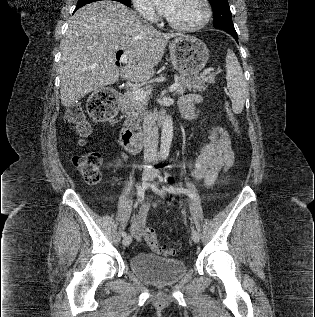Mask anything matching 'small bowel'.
<instances>
[{
    "label": "small bowel",
    "instance_id": "c3829d8e",
    "mask_svg": "<svg viewBox=\"0 0 315 317\" xmlns=\"http://www.w3.org/2000/svg\"><path fill=\"white\" fill-rule=\"evenodd\" d=\"M201 101L197 94L184 96L180 101V109L183 116L193 121L198 117L195 106ZM128 158L127 153L122 152L116 158V164L121 165ZM234 162V153L231 148V140L225 129L216 126L212 129L209 140L204 146L195 162L189 165V170L193 178L204 182L206 187L214 184L219 174L228 171ZM152 202L144 203L138 214L133 218L131 232L136 239H141L146 224V216Z\"/></svg>",
    "mask_w": 315,
    "mask_h": 317
}]
</instances>
